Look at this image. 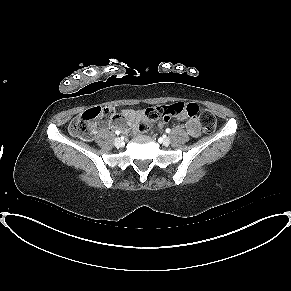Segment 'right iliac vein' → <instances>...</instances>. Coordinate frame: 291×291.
I'll return each mask as SVG.
<instances>
[{
    "label": "right iliac vein",
    "mask_w": 291,
    "mask_h": 291,
    "mask_svg": "<svg viewBox=\"0 0 291 291\" xmlns=\"http://www.w3.org/2000/svg\"><path fill=\"white\" fill-rule=\"evenodd\" d=\"M114 145L116 147H122L124 145V142L122 141V139H120L119 137H117L115 140H114Z\"/></svg>",
    "instance_id": "1"
}]
</instances>
